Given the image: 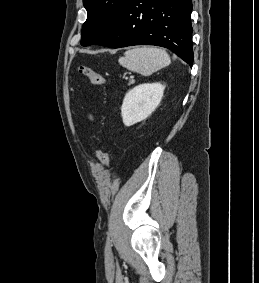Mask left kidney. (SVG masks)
I'll return each instance as SVG.
<instances>
[{"label":"left kidney","mask_w":259,"mask_h":283,"mask_svg":"<svg viewBox=\"0 0 259 283\" xmlns=\"http://www.w3.org/2000/svg\"><path fill=\"white\" fill-rule=\"evenodd\" d=\"M164 89L161 83H147L130 90L121 107L124 125L132 126L149 117L160 104Z\"/></svg>","instance_id":"left-kidney-1"}]
</instances>
